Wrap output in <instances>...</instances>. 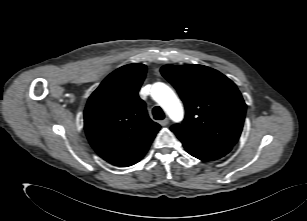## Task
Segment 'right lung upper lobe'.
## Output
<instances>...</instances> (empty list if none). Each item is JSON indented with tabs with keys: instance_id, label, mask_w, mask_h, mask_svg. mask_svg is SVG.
Segmentation results:
<instances>
[{
	"instance_id": "right-lung-upper-lobe-1",
	"label": "right lung upper lobe",
	"mask_w": 307,
	"mask_h": 221,
	"mask_svg": "<svg viewBox=\"0 0 307 221\" xmlns=\"http://www.w3.org/2000/svg\"><path fill=\"white\" fill-rule=\"evenodd\" d=\"M145 74L143 64L122 66L103 80L87 102L86 136L96 153L113 165L137 163L160 129L138 96Z\"/></svg>"
}]
</instances>
